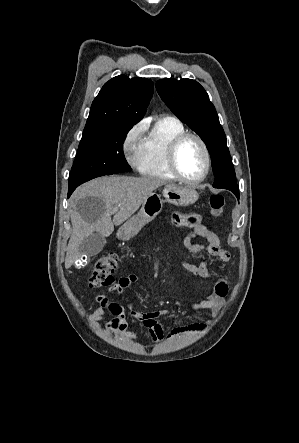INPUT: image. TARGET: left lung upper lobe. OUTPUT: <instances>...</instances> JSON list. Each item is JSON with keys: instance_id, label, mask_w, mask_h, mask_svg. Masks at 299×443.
I'll return each mask as SVG.
<instances>
[{"instance_id": "5c2ea615", "label": "left lung upper lobe", "mask_w": 299, "mask_h": 443, "mask_svg": "<svg viewBox=\"0 0 299 443\" xmlns=\"http://www.w3.org/2000/svg\"><path fill=\"white\" fill-rule=\"evenodd\" d=\"M156 88L170 110L206 144L215 176L213 187L239 190L225 133L204 88L195 80L172 78L157 81Z\"/></svg>"}]
</instances>
